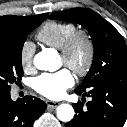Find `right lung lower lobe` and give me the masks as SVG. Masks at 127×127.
<instances>
[{
  "label": "right lung lower lobe",
  "instance_id": "98d812e1",
  "mask_svg": "<svg viewBox=\"0 0 127 127\" xmlns=\"http://www.w3.org/2000/svg\"><path fill=\"white\" fill-rule=\"evenodd\" d=\"M46 107V103L36 97L25 96L12 101L10 92L1 93L0 127H33Z\"/></svg>",
  "mask_w": 127,
  "mask_h": 127
}]
</instances>
